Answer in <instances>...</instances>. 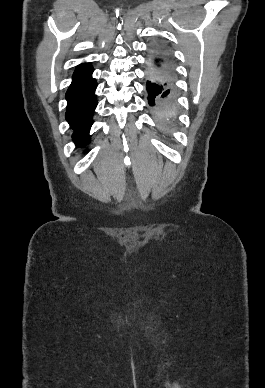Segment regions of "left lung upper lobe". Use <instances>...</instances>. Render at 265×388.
Masks as SVG:
<instances>
[{"instance_id": "left-lung-upper-lobe-1", "label": "left lung upper lobe", "mask_w": 265, "mask_h": 388, "mask_svg": "<svg viewBox=\"0 0 265 388\" xmlns=\"http://www.w3.org/2000/svg\"><path fill=\"white\" fill-rule=\"evenodd\" d=\"M149 64L162 71L169 72L174 75V67L170 58L163 47L157 46L153 48L152 57Z\"/></svg>"}]
</instances>
